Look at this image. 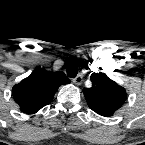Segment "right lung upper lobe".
Masks as SVG:
<instances>
[{"instance_id": "obj_1", "label": "right lung upper lobe", "mask_w": 145, "mask_h": 145, "mask_svg": "<svg viewBox=\"0 0 145 145\" xmlns=\"http://www.w3.org/2000/svg\"><path fill=\"white\" fill-rule=\"evenodd\" d=\"M70 80L63 72H49L38 69L13 87L14 100L20 110L34 114L53 99L61 85L69 84Z\"/></svg>"}]
</instances>
